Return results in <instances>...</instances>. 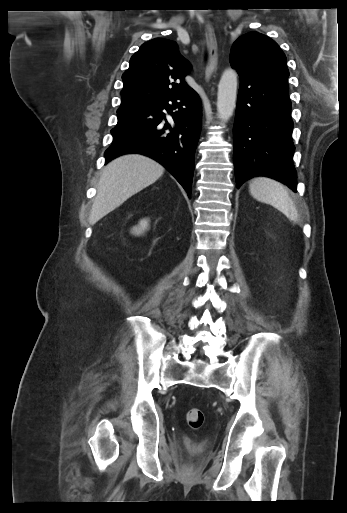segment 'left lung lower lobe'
Instances as JSON below:
<instances>
[{
	"label": "left lung lower lobe",
	"mask_w": 347,
	"mask_h": 513,
	"mask_svg": "<svg viewBox=\"0 0 347 513\" xmlns=\"http://www.w3.org/2000/svg\"><path fill=\"white\" fill-rule=\"evenodd\" d=\"M241 78L233 127L237 188L268 176L297 191L287 78Z\"/></svg>",
	"instance_id": "left-lung-lower-lobe-1"
}]
</instances>
